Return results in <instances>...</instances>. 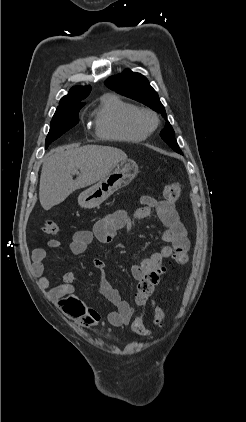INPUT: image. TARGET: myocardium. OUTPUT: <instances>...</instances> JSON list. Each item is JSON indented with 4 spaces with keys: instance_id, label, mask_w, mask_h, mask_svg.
Here are the masks:
<instances>
[{
    "instance_id": "f54148a6",
    "label": "myocardium",
    "mask_w": 246,
    "mask_h": 422,
    "mask_svg": "<svg viewBox=\"0 0 246 422\" xmlns=\"http://www.w3.org/2000/svg\"><path fill=\"white\" fill-rule=\"evenodd\" d=\"M158 115L149 109H139L136 115L137 125L146 133H152L159 125Z\"/></svg>"
}]
</instances>
